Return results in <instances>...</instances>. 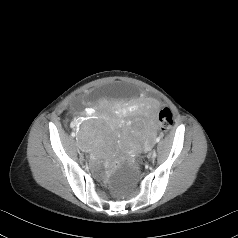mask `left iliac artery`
<instances>
[{
  "instance_id": "1",
  "label": "left iliac artery",
  "mask_w": 238,
  "mask_h": 238,
  "mask_svg": "<svg viewBox=\"0 0 238 238\" xmlns=\"http://www.w3.org/2000/svg\"><path fill=\"white\" fill-rule=\"evenodd\" d=\"M159 141H160V137H157V138H156V142H159Z\"/></svg>"
}]
</instances>
